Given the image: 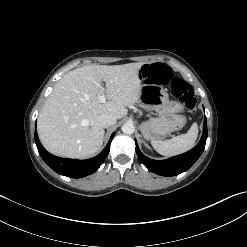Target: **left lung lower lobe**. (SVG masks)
Listing matches in <instances>:
<instances>
[{
  "instance_id": "obj_1",
  "label": "left lung lower lobe",
  "mask_w": 247,
  "mask_h": 247,
  "mask_svg": "<svg viewBox=\"0 0 247 247\" xmlns=\"http://www.w3.org/2000/svg\"><path fill=\"white\" fill-rule=\"evenodd\" d=\"M207 139V120L203 124V134L199 143L190 151L166 160H153L144 156L136 142V152L141 162L152 172L161 176H175L187 171L202 154Z\"/></svg>"
}]
</instances>
